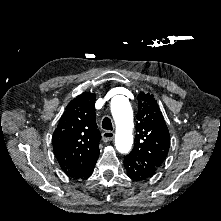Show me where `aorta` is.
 Returning a JSON list of instances; mask_svg holds the SVG:
<instances>
[{
	"label": "aorta",
	"mask_w": 221,
	"mask_h": 221,
	"mask_svg": "<svg viewBox=\"0 0 221 221\" xmlns=\"http://www.w3.org/2000/svg\"><path fill=\"white\" fill-rule=\"evenodd\" d=\"M111 112L116 124V149L128 153L133 144V112L129 100L123 95L115 96L111 101Z\"/></svg>",
	"instance_id": "762f6f07"
}]
</instances>
